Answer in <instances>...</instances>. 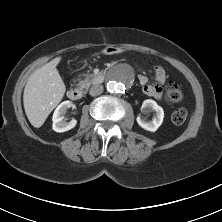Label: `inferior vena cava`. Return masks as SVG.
I'll list each match as a JSON object with an SVG mask.
<instances>
[{
  "mask_svg": "<svg viewBox=\"0 0 222 222\" xmlns=\"http://www.w3.org/2000/svg\"><path fill=\"white\" fill-rule=\"evenodd\" d=\"M102 92H103V86L100 84L92 86L89 91L91 96L100 95Z\"/></svg>",
  "mask_w": 222,
  "mask_h": 222,
  "instance_id": "inferior-vena-cava-1",
  "label": "inferior vena cava"
}]
</instances>
